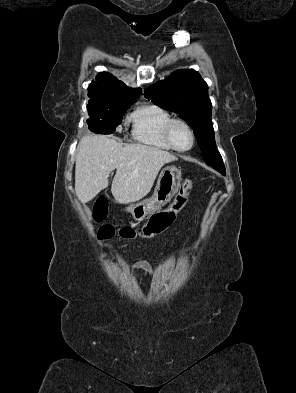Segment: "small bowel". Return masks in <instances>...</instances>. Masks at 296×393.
<instances>
[{
  "mask_svg": "<svg viewBox=\"0 0 296 393\" xmlns=\"http://www.w3.org/2000/svg\"><path fill=\"white\" fill-rule=\"evenodd\" d=\"M131 268L145 271L151 276L155 273L154 266L147 260H137L132 264Z\"/></svg>",
  "mask_w": 296,
  "mask_h": 393,
  "instance_id": "small-bowel-1",
  "label": "small bowel"
}]
</instances>
